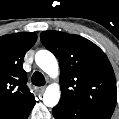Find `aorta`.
<instances>
[{
    "label": "aorta",
    "instance_id": "762f6f07",
    "mask_svg": "<svg viewBox=\"0 0 119 119\" xmlns=\"http://www.w3.org/2000/svg\"><path fill=\"white\" fill-rule=\"evenodd\" d=\"M35 62L50 77L58 75L59 67L55 56L48 50H39L35 55ZM60 100V87L54 83L49 85L43 95V102L47 107H54Z\"/></svg>",
    "mask_w": 119,
    "mask_h": 119
}]
</instances>
